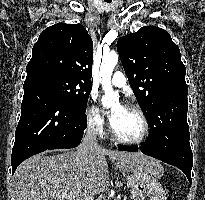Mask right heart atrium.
Returning <instances> with one entry per match:
<instances>
[{
    "mask_svg": "<svg viewBox=\"0 0 205 200\" xmlns=\"http://www.w3.org/2000/svg\"><path fill=\"white\" fill-rule=\"evenodd\" d=\"M86 124L88 129L96 135H101L104 132V117L96 106L94 97H91L86 110Z\"/></svg>",
    "mask_w": 205,
    "mask_h": 200,
    "instance_id": "right-heart-atrium-1",
    "label": "right heart atrium"
}]
</instances>
